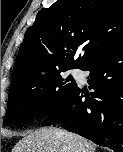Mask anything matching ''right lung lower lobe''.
Instances as JSON below:
<instances>
[{
	"label": "right lung lower lobe",
	"instance_id": "obj_1",
	"mask_svg": "<svg viewBox=\"0 0 123 152\" xmlns=\"http://www.w3.org/2000/svg\"><path fill=\"white\" fill-rule=\"evenodd\" d=\"M82 70L90 71L88 84L94 91L89 95L77 87L42 125L58 122L100 146L123 152V40L104 49Z\"/></svg>",
	"mask_w": 123,
	"mask_h": 152
}]
</instances>
